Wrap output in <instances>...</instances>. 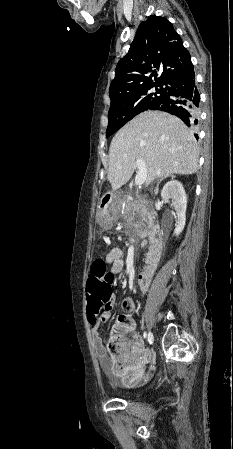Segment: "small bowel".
Wrapping results in <instances>:
<instances>
[{"label":"small bowel","instance_id":"1","mask_svg":"<svg viewBox=\"0 0 233 449\" xmlns=\"http://www.w3.org/2000/svg\"><path fill=\"white\" fill-rule=\"evenodd\" d=\"M106 261L109 264L108 279L112 281L123 271V250L120 247L112 248L106 255ZM153 279L152 272H139L138 290L146 292ZM104 309L106 311L99 314L93 322L87 316L94 351L105 369L111 371L123 383L134 385L144 377V367L151 360L152 353L143 347L142 338L136 334L133 336L135 341L133 345L124 350H117L116 353H109L100 338L99 327L101 323L108 321L111 317L113 304L106 302Z\"/></svg>","mask_w":233,"mask_h":449}]
</instances>
